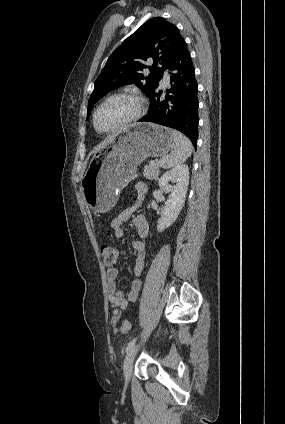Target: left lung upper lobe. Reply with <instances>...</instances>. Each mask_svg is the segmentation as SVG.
<instances>
[{
  "label": "left lung upper lobe",
  "instance_id": "left-lung-upper-lobe-1",
  "mask_svg": "<svg viewBox=\"0 0 285 424\" xmlns=\"http://www.w3.org/2000/svg\"><path fill=\"white\" fill-rule=\"evenodd\" d=\"M180 37L178 28L162 17L152 18L139 27L108 58L94 83L87 118L102 96L122 85L133 83L150 96L158 87ZM147 59L153 60L152 66L144 64ZM145 68L151 70L148 77L141 73Z\"/></svg>",
  "mask_w": 285,
  "mask_h": 424
}]
</instances>
